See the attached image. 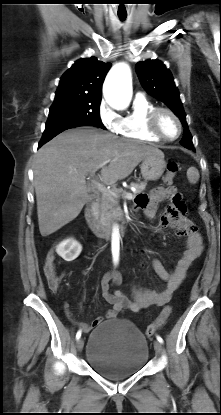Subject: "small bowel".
<instances>
[{"label":"small bowel","mask_w":221,"mask_h":415,"mask_svg":"<svg viewBox=\"0 0 221 415\" xmlns=\"http://www.w3.org/2000/svg\"><path fill=\"white\" fill-rule=\"evenodd\" d=\"M163 201H168L169 204L156 229L171 225L177 235H186L185 249L171 272H168L158 259H153L152 266L155 272L166 283L162 291L134 286L129 295L119 289L111 292L110 284L118 287L122 283V276L116 271L107 273L101 283L102 296L111 305V309L105 313L106 319L115 318L123 310L138 312L152 305L162 306L168 303L183 282L188 269L203 251V239L196 232L195 225L187 220L185 202L174 186L157 187L149 194H139L135 198V208L142 209L144 215L151 219L156 215L159 203ZM102 320V317H98L90 325H80L85 331H89Z\"/></svg>","instance_id":"small-bowel-1"}]
</instances>
